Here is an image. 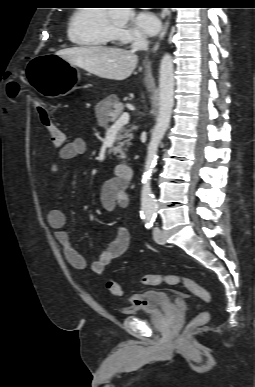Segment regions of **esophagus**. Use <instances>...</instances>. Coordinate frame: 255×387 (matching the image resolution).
I'll return each instance as SVG.
<instances>
[{
	"mask_svg": "<svg viewBox=\"0 0 255 387\" xmlns=\"http://www.w3.org/2000/svg\"><path fill=\"white\" fill-rule=\"evenodd\" d=\"M168 27H169V20L167 19L163 25V28L159 34V39L158 41L155 43L154 47H153V52L157 51V49L159 48V43L160 41L164 38L167 30H168Z\"/></svg>",
	"mask_w": 255,
	"mask_h": 387,
	"instance_id": "obj_1",
	"label": "esophagus"
}]
</instances>
